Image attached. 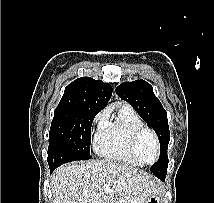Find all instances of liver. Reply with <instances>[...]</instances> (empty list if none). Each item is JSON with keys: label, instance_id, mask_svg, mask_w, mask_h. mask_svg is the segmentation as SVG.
<instances>
[{"label": "liver", "instance_id": "obj_1", "mask_svg": "<svg viewBox=\"0 0 214 203\" xmlns=\"http://www.w3.org/2000/svg\"><path fill=\"white\" fill-rule=\"evenodd\" d=\"M159 190L153 176L111 160L64 164L51 178L53 203H146Z\"/></svg>", "mask_w": 214, "mask_h": 203}]
</instances>
